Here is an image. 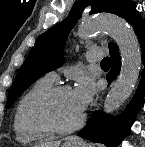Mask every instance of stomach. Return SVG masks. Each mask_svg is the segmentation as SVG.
Listing matches in <instances>:
<instances>
[{"mask_svg": "<svg viewBox=\"0 0 145 147\" xmlns=\"http://www.w3.org/2000/svg\"><path fill=\"white\" fill-rule=\"evenodd\" d=\"M62 147H81V145L77 142L66 141Z\"/></svg>", "mask_w": 145, "mask_h": 147, "instance_id": "0dacf381", "label": "stomach"}]
</instances>
